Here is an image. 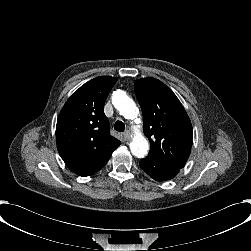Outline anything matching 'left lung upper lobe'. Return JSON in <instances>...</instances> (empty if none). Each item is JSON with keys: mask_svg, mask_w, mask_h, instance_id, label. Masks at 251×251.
<instances>
[{"mask_svg": "<svg viewBox=\"0 0 251 251\" xmlns=\"http://www.w3.org/2000/svg\"><path fill=\"white\" fill-rule=\"evenodd\" d=\"M135 93L143 113L144 133L150 141L149 157L183 168L189 158L193 130L179 99L153 77L135 81Z\"/></svg>", "mask_w": 251, "mask_h": 251, "instance_id": "5c2ea615", "label": "left lung upper lobe"}]
</instances>
